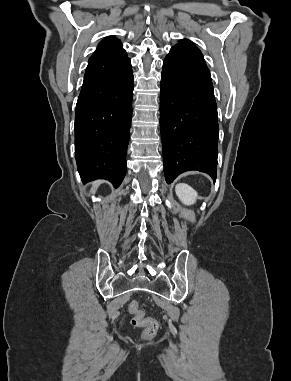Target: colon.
I'll list each match as a JSON object with an SVG mask.
<instances>
[{
    "mask_svg": "<svg viewBox=\"0 0 291 381\" xmlns=\"http://www.w3.org/2000/svg\"><path fill=\"white\" fill-rule=\"evenodd\" d=\"M128 312L132 315L131 323L135 327H143L144 335L152 337L158 328L157 322L149 317H146L144 312L140 309L137 300H132L128 304Z\"/></svg>",
    "mask_w": 291,
    "mask_h": 381,
    "instance_id": "1",
    "label": "colon"
}]
</instances>
